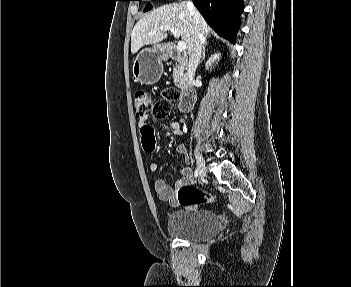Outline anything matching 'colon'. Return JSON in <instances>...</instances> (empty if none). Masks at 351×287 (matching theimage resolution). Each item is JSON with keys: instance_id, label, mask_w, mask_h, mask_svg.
Here are the masks:
<instances>
[{"instance_id": "colon-1", "label": "colon", "mask_w": 351, "mask_h": 287, "mask_svg": "<svg viewBox=\"0 0 351 287\" xmlns=\"http://www.w3.org/2000/svg\"><path fill=\"white\" fill-rule=\"evenodd\" d=\"M180 93L174 88L166 89L162 92V99L153 101L150 93L140 90L134 97L137 115L144 116L151 113L154 120H161L167 117L171 111L172 104L178 101ZM177 199L180 205L192 207L195 205L214 203L216 197L204 190L192 185H183L179 188Z\"/></svg>"}]
</instances>
